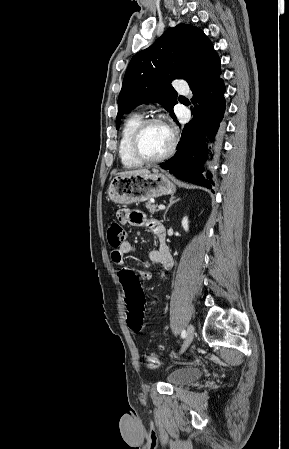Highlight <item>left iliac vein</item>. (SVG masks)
I'll use <instances>...</instances> for the list:
<instances>
[{"label":"left iliac vein","instance_id":"1","mask_svg":"<svg viewBox=\"0 0 289 449\" xmlns=\"http://www.w3.org/2000/svg\"><path fill=\"white\" fill-rule=\"evenodd\" d=\"M193 338H194V326L190 324L187 328L186 337L181 352H184L189 347V345L193 341Z\"/></svg>","mask_w":289,"mask_h":449}]
</instances>
